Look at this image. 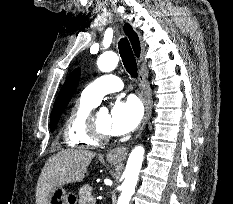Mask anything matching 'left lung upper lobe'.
I'll use <instances>...</instances> for the list:
<instances>
[{"mask_svg": "<svg viewBox=\"0 0 233 204\" xmlns=\"http://www.w3.org/2000/svg\"><path fill=\"white\" fill-rule=\"evenodd\" d=\"M80 79V69H75L65 81L58 97L56 98L53 110L50 116V130L54 131L60 116L67 104L71 100L73 94L76 91L78 81Z\"/></svg>", "mask_w": 233, "mask_h": 204, "instance_id": "5c2ea615", "label": "left lung upper lobe"}]
</instances>
